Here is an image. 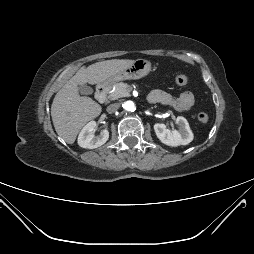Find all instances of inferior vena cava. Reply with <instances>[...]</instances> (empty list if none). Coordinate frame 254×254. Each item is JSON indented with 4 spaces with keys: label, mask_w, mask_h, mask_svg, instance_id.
I'll use <instances>...</instances> for the list:
<instances>
[{
    "label": "inferior vena cava",
    "mask_w": 254,
    "mask_h": 254,
    "mask_svg": "<svg viewBox=\"0 0 254 254\" xmlns=\"http://www.w3.org/2000/svg\"><path fill=\"white\" fill-rule=\"evenodd\" d=\"M120 107V104L119 103H113L111 105H109L107 107V112L108 113H114L116 110H118Z\"/></svg>",
    "instance_id": "obj_1"
}]
</instances>
